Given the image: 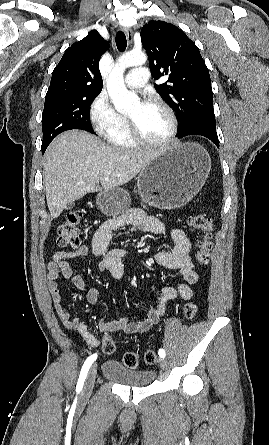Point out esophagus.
Segmentation results:
<instances>
[{
	"instance_id": "34e87169",
	"label": "esophagus",
	"mask_w": 269,
	"mask_h": 445,
	"mask_svg": "<svg viewBox=\"0 0 269 445\" xmlns=\"http://www.w3.org/2000/svg\"><path fill=\"white\" fill-rule=\"evenodd\" d=\"M122 30L124 31V33L126 34L127 40L129 43L132 42L133 40V33L132 30L128 27H123Z\"/></svg>"
}]
</instances>
